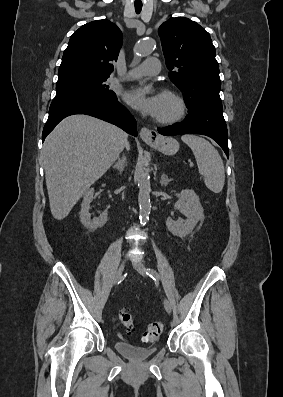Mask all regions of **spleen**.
<instances>
[{
    "label": "spleen",
    "mask_w": 283,
    "mask_h": 397,
    "mask_svg": "<svg viewBox=\"0 0 283 397\" xmlns=\"http://www.w3.org/2000/svg\"><path fill=\"white\" fill-rule=\"evenodd\" d=\"M181 140L193 151L206 187L214 193H220L225 182V171L218 151L210 142L196 135H183Z\"/></svg>",
    "instance_id": "spleen-1"
}]
</instances>
